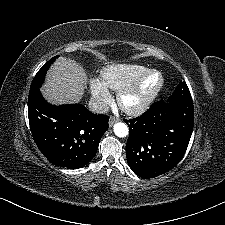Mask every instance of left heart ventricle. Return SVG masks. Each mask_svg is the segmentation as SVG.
I'll list each match as a JSON object with an SVG mask.
<instances>
[{
    "instance_id": "b2bd125f",
    "label": "left heart ventricle",
    "mask_w": 225,
    "mask_h": 225,
    "mask_svg": "<svg viewBox=\"0 0 225 225\" xmlns=\"http://www.w3.org/2000/svg\"><path fill=\"white\" fill-rule=\"evenodd\" d=\"M156 83V77H151L148 79L147 83H146V87L145 90H148L152 85H154ZM137 99L131 98L127 100V104L132 105L134 103H136Z\"/></svg>"
}]
</instances>
